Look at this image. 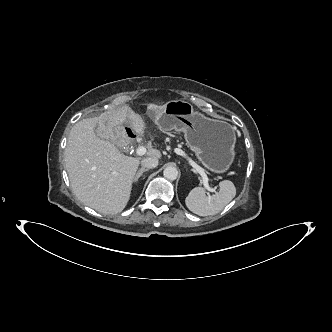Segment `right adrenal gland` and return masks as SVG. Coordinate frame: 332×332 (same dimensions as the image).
Segmentation results:
<instances>
[{"instance_id":"right-adrenal-gland-1","label":"right adrenal gland","mask_w":332,"mask_h":332,"mask_svg":"<svg viewBox=\"0 0 332 332\" xmlns=\"http://www.w3.org/2000/svg\"><path fill=\"white\" fill-rule=\"evenodd\" d=\"M146 171H149V169H148V168H141V169L136 173V175H135L133 181H134V182H137L138 179L142 176V174H143L144 172H146Z\"/></svg>"}]
</instances>
